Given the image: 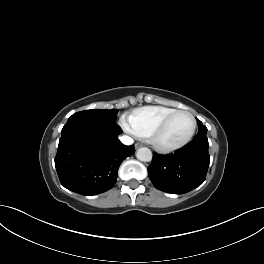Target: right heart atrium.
<instances>
[{
	"mask_svg": "<svg viewBox=\"0 0 264 264\" xmlns=\"http://www.w3.org/2000/svg\"><path fill=\"white\" fill-rule=\"evenodd\" d=\"M121 124L126 130H129V126L124 120L121 121Z\"/></svg>",
	"mask_w": 264,
	"mask_h": 264,
	"instance_id": "obj_1",
	"label": "right heart atrium"
}]
</instances>
